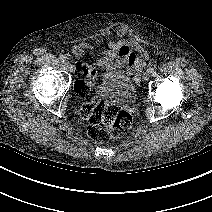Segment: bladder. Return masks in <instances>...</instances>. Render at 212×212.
Segmentation results:
<instances>
[{
  "label": "bladder",
  "instance_id": "obj_1",
  "mask_svg": "<svg viewBox=\"0 0 212 212\" xmlns=\"http://www.w3.org/2000/svg\"><path fill=\"white\" fill-rule=\"evenodd\" d=\"M93 92L107 100L123 103L131 102L136 96L134 84L126 80L119 70L103 73L100 81L93 87Z\"/></svg>",
  "mask_w": 212,
  "mask_h": 212
}]
</instances>
